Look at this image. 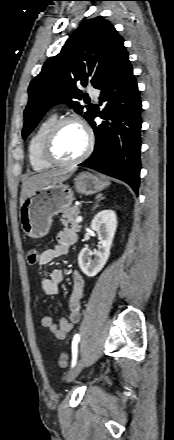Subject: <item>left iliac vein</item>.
<instances>
[{
  "mask_svg": "<svg viewBox=\"0 0 174 440\" xmlns=\"http://www.w3.org/2000/svg\"><path fill=\"white\" fill-rule=\"evenodd\" d=\"M85 360H86V356L85 355L81 356V358L78 360L76 365L66 375L65 379L67 382L72 381L79 375V373L82 371L85 365Z\"/></svg>",
  "mask_w": 174,
  "mask_h": 440,
  "instance_id": "left-iliac-vein-1",
  "label": "left iliac vein"
}]
</instances>
